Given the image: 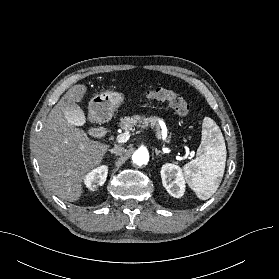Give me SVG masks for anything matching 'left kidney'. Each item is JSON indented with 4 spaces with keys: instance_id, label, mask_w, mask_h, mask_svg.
Masks as SVG:
<instances>
[{
    "instance_id": "obj_1",
    "label": "left kidney",
    "mask_w": 279,
    "mask_h": 279,
    "mask_svg": "<svg viewBox=\"0 0 279 279\" xmlns=\"http://www.w3.org/2000/svg\"><path fill=\"white\" fill-rule=\"evenodd\" d=\"M161 178L163 186L171 196L180 198L184 195L185 177L178 165L164 164L161 168Z\"/></svg>"
}]
</instances>
